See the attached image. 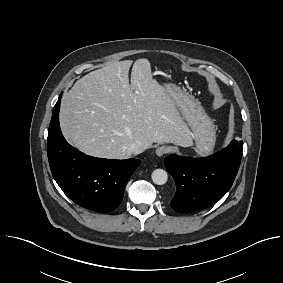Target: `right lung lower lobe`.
Segmentation results:
<instances>
[{"label": "right lung lower lobe", "instance_id": "obj_1", "mask_svg": "<svg viewBox=\"0 0 283 283\" xmlns=\"http://www.w3.org/2000/svg\"><path fill=\"white\" fill-rule=\"evenodd\" d=\"M60 101L61 94L53 109L47 139L52 175L76 204L100 213L110 212L122 202L125 186L140 160L95 158L73 148L60 130Z\"/></svg>", "mask_w": 283, "mask_h": 283}]
</instances>
